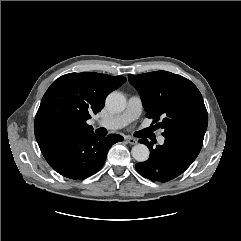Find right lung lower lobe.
<instances>
[{
  "label": "right lung lower lobe",
  "instance_id": "obj_1",
  "mask_svg": "<svg viewBox=\"0 0 241 241\" xmlns=\"http://www.w3.org/2000/svg\"><path fill=\"white\" fill-rule=\"evenodd\" d=\"M120 135L106 138L94 132L62 136L40 144L49 165L59 174L71 179H85L103 166L109 148L122 141Z\"/></svg>",
  "mask_w": 241,
  "mask_h": 241
}]
</instances>
